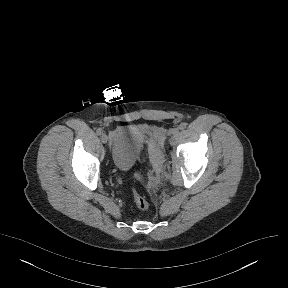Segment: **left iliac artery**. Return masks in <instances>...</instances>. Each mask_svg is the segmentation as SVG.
<instances>
[{"label": "left iliac artery", "mask_w": 288, "mask_h": 288, "mask_svg": "<svg viewBox=\"0 0 288 288\" xmlns=\"http://www.w3.org/2000/svg\"><path fill=\"white\" fill-rule=\"evenodd\" d=\"M186 126H187V124H186L185 122H182V123L179 125V129H180V130H183V129L186 128Z\"/></svg>", "instance_id": "44dca946"}]
</instances>
